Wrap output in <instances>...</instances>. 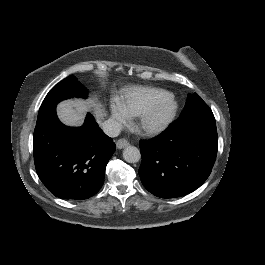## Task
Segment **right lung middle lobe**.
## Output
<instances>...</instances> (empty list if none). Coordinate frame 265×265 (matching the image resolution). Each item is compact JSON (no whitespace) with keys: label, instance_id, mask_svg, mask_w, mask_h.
I'll return each mask as SVG.
<instances>
[{"label":"right lung middle lobe","instance_id":"dd1d6c3e","mask_svg":"<svg viewBox=\"0 0 265 265\" xmlns=\"http://www.w3.org/2000/svg\"><path fill=\"white\" fill-rule=\"evenodd\" d=\"M71 97H87V89L71 75L59 82L45 97L39 109L38 118L56 108V105Z\"/></svg>","mask_w":265,"mask_h":265}]
</instances>
